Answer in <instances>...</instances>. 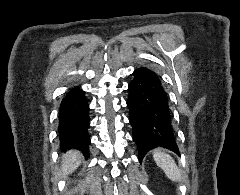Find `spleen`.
Here are the masks:
<instances>
[{
  "label": "spleen",
  "mask_w": 240,
  "mask_h": 195,
  "mask_svg": "<svg viewBox=\"0 0 240 195\" xmlns=\"http://www.w3.org/2000/svg\"><path fill=\"white\" fill-rule=\"evenodd\" d=\"M153 157L157 165L164 169L169 179H172V181H181V171L169 153H165V151H161V149H154Z\"/></svg>",
  "instance_id": "3e777b00"
}]
</instances>
